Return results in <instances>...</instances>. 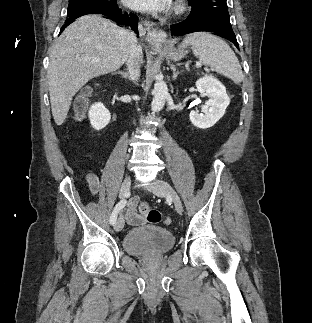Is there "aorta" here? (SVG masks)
<instances>
[{
  "label": "aorta",
  "mask_w": 312,
  "mask_h": 323,
  "mask_svg": "<svg viewBox=\"0 0 312 323\" xmlns=\"http://www.w3.org/2000/svg\"><path fill=\"white\" fill-rule=\"evenodd\" d=\"M155 80L156 82L153 90L154 98L151 104V110H153V112H159V110H162L163 106H165V100L166 98H169L170 94L166 82H163L161 78H155Z\"/></svg>",
  "instance_id": "obj_1"
}]
</instances>
